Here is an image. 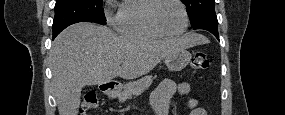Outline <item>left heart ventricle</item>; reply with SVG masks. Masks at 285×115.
Masks as SVG:
<instances>
[{"mask_svg":"<svg viewBox=\"0 0 285 115\" xmlns=\"http://www.w3.org/2000/svg\"><path fill=\"white\" fill-rule=\"evenodd\" d=\"M155 18L158 24L168 32H178L184 26L182 9L172 0L163 1L159 4Z\"/></svg>","mask_w":285,"mask_h":115,"instance_id":"1","label":"left heart ventricle"}]
</instances>
